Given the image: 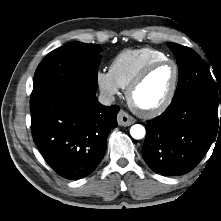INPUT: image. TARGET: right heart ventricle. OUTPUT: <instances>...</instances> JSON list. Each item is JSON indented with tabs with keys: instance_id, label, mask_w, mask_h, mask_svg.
<instances>
[{
	"instance_id": "e07e8e85",
	"label": "right heart ventricle",
	"mask_w": 221,
	"mask_h": 221,
	"mask_svg": "<svg viewBox=\"0 0 221 221\" xmlns=\"http://www.w3.org/2000/svg\"><path fill=\"white\" fill-rule=\"evenodd\" d=\"M165 58L163 52L149 47L126 49L112 60L109 72L119 87L125 89L146 64Z\"/></svg>"
}]
</instances>
